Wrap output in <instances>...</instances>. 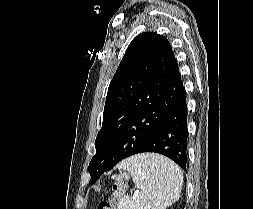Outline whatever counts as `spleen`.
<instances>
[{"label": "spleen", "mask_w": 253, "mask_h": 209, "mask_svg": "<svg viewBox=\"0 0 253 209\" xmlns=\"http://www.w3.org/2000/svg\"><path fill=\"white\" fill-rule=\"evenodd\" d=\"M130 172L136 191L125 196L117 209H166L179 200L183 186V173L170 159L159 154H138L119 165Z\"/></svg>", "instance_id": "3e777b00"}]
</instances>
